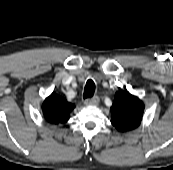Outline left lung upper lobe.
<instances>
[{
	"mask_svg": "<svg viewBox=\"0 0 173 170\" xmlns=\"http://www.w3.org/2000/svg\"><path fill=\"white\" fill-rule=\"evenodd\" d=\"M111 123L121 132L137 128L144 112L143 102L127 91L116 93L111 107Z\"/></svg>",
	"mask_w": 173,
	"mask_h": 170,
	"instance_id": "obj_1",
	"label": "left lung upper lobe"
}]
</instances>
